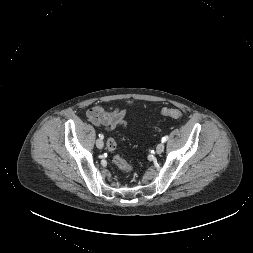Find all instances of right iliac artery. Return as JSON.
Masks as SVG:
<instances>
[{"instance_id":"82829eb1","label":"right iliac artery","mask_w":253,"mask_h":253,"mask_svg":"<svg viewBox=\"0 0 253 253\" xmlns=\"http://www.w3.org/2000/svg\"><path fill=\"white\" fill-rule=\"evenodd\" d=\"M99 138L103 139L104 138L103 134H99Z\"/></svg>"}]
</instances>
